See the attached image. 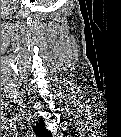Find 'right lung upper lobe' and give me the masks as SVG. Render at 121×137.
<instances>
[{
  "mask_svg": "<svg viewBox=\"0 0 121 137\" xmlns=\"http://www.w3.org/2000/svg\"><path fill=\"white\" fill-rule=\"evenodd\" d=\"M44 122L42 121V119L39 120V123L37 124V126L35 127L37 134L38 133H46L47 131L45 130L44 127Z\"/></svg>",
  "mask_w": 121,
  "mask_h": 137,
  "instance_id": "right-lung-upper-lobe-1",
  "label": "right lung upper lobe"
}]
</instances>
